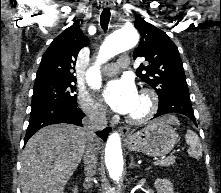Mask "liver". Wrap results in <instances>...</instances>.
Segmentation results:
<instances>
[{
  "instance_id": "6515ba94",
  "label": "liver",
  "mask_w": 221,
  "mask_h": 193,
  "mask_svg": "<svg viewBox=\"0 0 221 193\" xmlns=\"http://www.w3.org/2000/svg\"><path fill=\"white\" fill-rule=\"evenodd\" d=\"M163 120L179 125L174 116ZM87 142L85 129L70 124L47 126L36 132L26 143L21 156L22 193H64ZM95 143L99 149L98 138Z\"/></svg>"
}]
</instances>
